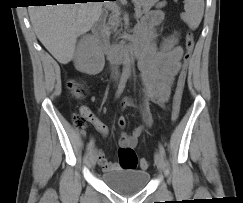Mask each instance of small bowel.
<instances>
[{
	"mask_svg": "<svg viewBox=\"0 0 243 203\" xmlns=\"http://www.w3.org/2000/svg\"><path fill=\"white\" fill-rule=\"evenodd\" d=\"M162 21V12L151 11L141 19L137 27L136 37L145 43L144 53L139 61L141 80L144 86L143 101L139 105L143 123L130 134L124 131L121 132L120 147H136L144 130L152 126L153 120L148 109L150 102L156 103L165 109L168 108L172 86L176 75L181 69L183 49L176 44L177 39L173 33L165 37L159 48H157L156 40ZM133 105L135 103L131 99H126L123 102V107ZM90 122L99 133L104 136L108 134L107 126L91 113ZM117 124L121 129H124L126 119L123 116L119 117ZM96 152L99 165L104 171L120 169L118 163L109 162L106 159L102 150Z\"/></svg>",
	"mask_w": 243,
	"mask_h": 203,
	"instance_id": "1",
	"label": "small bowel"
}]
</instances>
